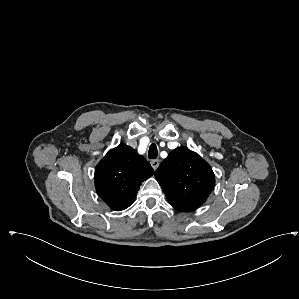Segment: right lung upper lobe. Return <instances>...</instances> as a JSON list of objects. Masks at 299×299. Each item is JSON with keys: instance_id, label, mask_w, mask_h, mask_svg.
<instances>
[{"instance_id": "cb5924a9", "label": "right lung upper lobe", "mask_w": 299, "mask_h": 299, "mask_svg": "<svg viewBox=\"0 0 299 299\" xmlns=\"http://www.w3.org/2000/svg\"><path fill=\"white\" fill-rule=\"evenodd\" d=\"M153 174V168L143 156L130 146L120 144L96 166L95 187L110 208L121 211L134 202L141 183Z\"/></svg>"}]
</instances>
